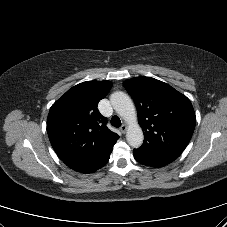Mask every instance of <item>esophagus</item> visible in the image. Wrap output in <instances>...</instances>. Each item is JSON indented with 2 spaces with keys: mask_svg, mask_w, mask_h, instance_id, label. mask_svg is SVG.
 Returning <instances> with one entry per match:
<instances>
[{
  "mask_svg": "<svg viewBox=\"0 0 227 227\" xmlns=\"http://www.w3.org/2000/svg\"><path fill=\"white\" fill-rule=\"evenodd\" d=\"M126 130H127V125H126V124H123V125L120 127V131H121L122 133H125Z\"/></svg>",
  "mask_w": 227,
  "mask_h": 227,
  "instance_id": "1",
  "label": "esophagus"
}]
</instances>
